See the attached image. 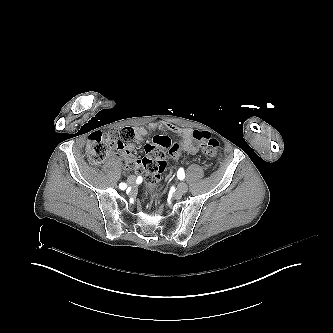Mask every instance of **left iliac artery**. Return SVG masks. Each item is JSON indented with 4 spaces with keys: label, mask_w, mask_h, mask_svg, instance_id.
Segmentation results:
<instances>
[{
    "label": "left iliac artery",
    "mask_w": 333,
    "mask_h": 333,
    "mask_svg": "<svg viewBox=\"0 0 333 333\" xmlns=\"http://www.w3.org/2000/svg\"><path fill=\"white\" fill-rule=\"evenodd\" d=\"M177 177L180 179V180H183L184 177H185V173H184V170L182 168H180L177 172Z\"/></svg>",
    "instance_id": "1"
}]
</instances>
